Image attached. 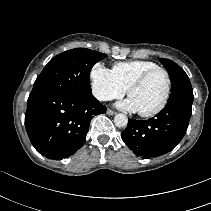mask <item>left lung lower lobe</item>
<instances>
[{"mask_svg": "<svg viewBox=\"0 0 211 211\" xmlns=\"http://www.w3.org/2000/svg\"><path fill=\"white\" fill-rule=\"evenodd\" d=\"M191 113V102H168L154 118L140 121L128 119L121 137L138 156L147 158L163 155L173 150L182 140Z\"/></svg>", "mask_w": 211, "mask_h": 211, "instance_id": "0a47b994", "label": "left lung lower lobe"}]
</instances>
